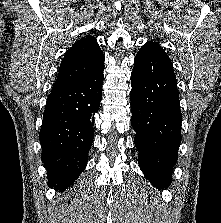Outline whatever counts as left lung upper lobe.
Masks as SVG:
<instances>
[{
	"label": "left lung upper lobe",
	"instance_id": "5c2ea615",
	"mask_svg": "<svg viewBox=\"0 0 221 223\" xmlns=\"http://www.w3.org/2000/svg\"><path fill=\"white\" fill-rule=\"evenodd\" d=\"M149 44H156L155 42H148L145 45H149Z\"/></svg>",
	"mask_w": 221,
	"mask_h": 223
}]
</instances>
